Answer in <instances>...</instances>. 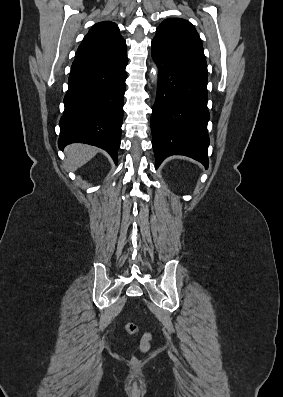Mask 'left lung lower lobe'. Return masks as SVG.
<instances>
[{
	"label": "left lung lower lobe",
	"instance_id": "left-lung-lower-lobe-1",
	"mask_svg": "<svg viewBox=\"0 0 283 397\" xmlns=\"http://www.w3.org/2000/svg\"><path fill=\"white\" fill-rule=\"evenodd\" d=\"M158 66V87L151 116L156 168L170 155H185L206 168L209 136L207 77L152 45Z\"/></svg>",
	"mask_w": 283,
	"mask_h": 397
}]
</instances>
